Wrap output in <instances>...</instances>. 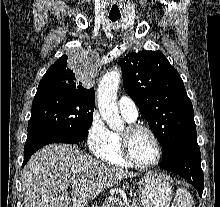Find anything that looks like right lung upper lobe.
<instances>
[{
  "label": "right lung upper lobe",
  "mask_w": 220,
  "mask_h": 207,
  "mask_svg": "<svg viewBox=\"0 0 220 207\" xmlns=\"http://www.w3.org/2000/svg\"><path fill=\"white\" fill-rule=\"evenodd\" d=\"M37 90H60L95 97L93 88H86L73 70L68 67L67 56L63 55L52 64L41 79Z\"/></svg>",
  "instance_id": "right-lung-upper-lobe-1"
}]
</instances>
